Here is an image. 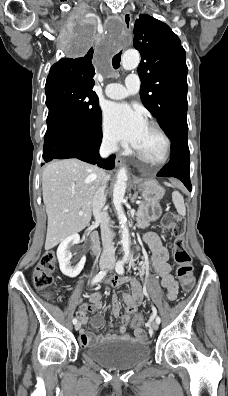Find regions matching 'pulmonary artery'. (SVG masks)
I'll return each mask as SVG.
<instances>
[{"instance_id": "1", "label": "pulmonary artery", "mask_w": 228, "mask_h": 396, "mask_svg": "<svg viewBox=\"0 0 228 396\" xmlns=\"http://www.w3.org/2000/svg\"><path fill=\"white\" fill-rule=\"evenodd\" d=\"M140 81L136 74H130L126 77L125 84L110 83L106 86L105 94L107 97L115 100L126 98L139 91Z\"/></svg>"}]
</instances>
